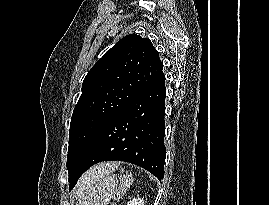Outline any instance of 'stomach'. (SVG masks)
I'll return each instance as SVG.
<instances>
[{
    "instance_id": "obj_1",
    "label": "stomach",
    "mask_w": 269,
    "mask_h": 205,
    "mask_svg": "<svg viewBox=\"0 0 269 205\" xmlns=\"http://www.w3.org/2000/svg\"><path fill=\"white\" fill-rule=\"evenodd\" d=\"M121 195L116 175L108 173L79 196L76 205H107L111 199Z\"/></svg>"
}]
</instances>
